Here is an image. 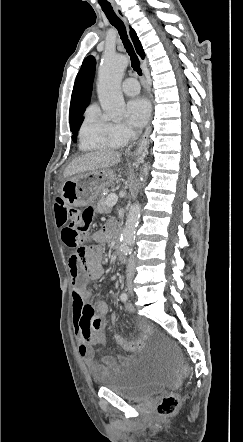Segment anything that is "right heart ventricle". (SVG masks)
Wrapping results in <instances>:
<instances>
[{
  "label": "right heart ventricle",
  "instance_id": "e07e8e85",
  "mask_svg": "<svg viewBox=\"0 0 243 442\" xmlns=\"http://www.w3.org/2000/svg\"><path fill=\"white\" fill-rule=\"evenodd\" d=\"M79 147L83 151L114 148L120 144L106 120L95 105L87 108L79 130Z\"/></svg>",
  "mask_w": 243,
  "mask_h": 442
}]
</instances>
